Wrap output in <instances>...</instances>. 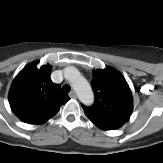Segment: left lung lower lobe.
Instances as JSON below:
<instances>
[{
  "label": "left lung lower lobe",
  "mask_w": 163,
  "mask_h": 163,
  "mask_svg": "<svg viewBox=\"0 0 163 163\" xmlns=\"http://www.w3.org/2000/svg\"><path fill=\"white\" fill-rule=\"evenodd\" d=\"M95 125L102 130H114L120 127V126L104 125V124H97V123H95Z\"/></svg>",
  "instance_id": "1"
}]
</instances>
